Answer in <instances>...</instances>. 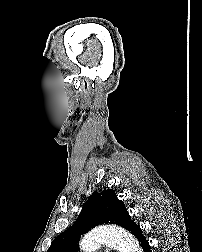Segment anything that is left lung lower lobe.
I'll use <instances>...</instances> for the list:
<instances>
[{"mask_svg":"<svg viewBox=\"0 0 202 252\" xmlns=\"http://www.w3.org/2000/svg\"><path fill=\"white\" fill-rule=\"evenodd\" d=\"M129 231L137 238L144 252H151L150 245L146 238L142 235L140 226L133 224Z\"/></svg>","mask_w":202,"mask_h":252,"instance_id":"0a47b994","label":"left lung lower lobe"}]
</instances>
